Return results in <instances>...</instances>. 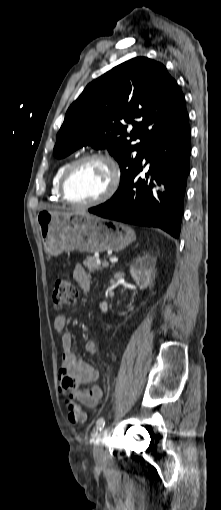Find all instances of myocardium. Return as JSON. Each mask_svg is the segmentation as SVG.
I'll list each match as a JSON object with an SVG mask.
<instances>
[{"instance_id": "obj_1", "label": "myocardium", "mask_w": 221, "mask_h": 510, "mask_svg": "<svg viewBox=\"0 0 221 510\" xmlns=\"http://www.w3.org/2000/svg\"><path fill=\"white\" fill-rule=\"evenodd\" d=\"M90 160H97V161L104 162L109 167L110 172H111V182H110L108 188L106 189V191L101 196H99L98 198H96L92 201H89V202L72 201L68 197L67 192H66L67 181H68L71 173L74 171V169L77 166H79L80 164H82L86 161H90ZM120 182H121V172H120L118 164L116 163V161L114 160V158L112 156H110L109 154H106V153H101V152L87 153V154H84V155L78 157L77 159L72 161L66 167V169L64 170V172L61 176V179H60L59 194H60V197L62 198V200L69 206L76 207V208H91V207L97 206L99 204H102V203L106 202L107 200H109L111 197H113L120 186Z\"/></svg>"}]
</instances>
